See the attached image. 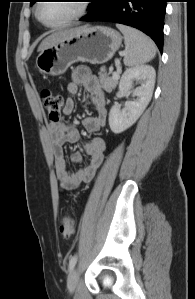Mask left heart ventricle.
<instances>
[{"label":"left heart ventricle","instance_id":"obj_1","mask_svg":"<svg viewBox=\"0 0 195 299\" xmlns=\"http://www.w3.org/2000/svg\"><path fill=\"white\" fill-rule=\"evenodd\" d=\"M78 10V1H46L41 4L39 14L48 24L60 23L73 16Z\"/></svg>","mask_w":195,"mask_h":299}]
</instances>
